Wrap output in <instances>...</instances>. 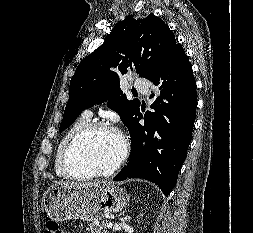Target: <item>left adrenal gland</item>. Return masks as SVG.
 <instances>
[{"instance_id":"left-adrenal-gland-1","label":"left adrenal gland","mask_w":253,"mask_h":233,"mask_svg":"<svg viewBox=\"0 0 253 233\" xmlns=\"http://www.w3.org/2000/svg\"><path fill=\"white\" fill-rule=\"evenodd\" d=\"M129 201H130V194L127 195V202H128V204H129ZM125 211H126V209H125L123 212H121V213L118 215V217L121 216L122 214H124Z\"/></svg>"}]
</instances>
